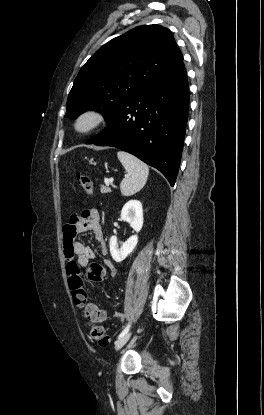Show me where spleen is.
Segmentation results:
<instances>
[{
  "label": "spleen",
  "mask_w": 264,
  "mask_h": 415,
  "mask_svg": "<svg viewBox=\"0 0 264 415\" xmlns=\"http://www.w3.org/2000/svg\"><path fill=\"white\" fill-rule=\"evenodd\" d=\"M117 157L127 172L120 184L121 193L124 196H131L144 187L149 175V168L141 160L127 152L118 151Z\"/></svg>",
  "instance_id": "obj_1"
}]
</instances>
